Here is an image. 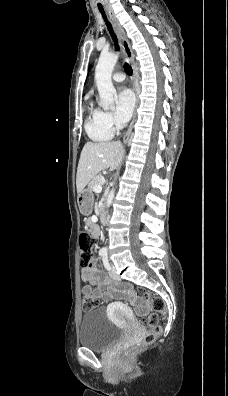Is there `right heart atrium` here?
I'll use <instances>...</instances> for the list:
<instances>
[{"label": "right heart atrium", "mask_w": 228, "mask_h": 396, "mask_svg": "<svg viewBox=\"0 0 228 396\" xmlns=\"http://www.w3.org/2000/svg\"><path fill=\"white\" fill-rule=\"evenodd\" d=\"M101 115H102L103 122L107 127L111 128L113 130L118 129L120 127L119 121L114 117V115L112 113H110L108 111H102Z\"/></svg>", "instance_id": "d8ad5b80"}]
</instances>
